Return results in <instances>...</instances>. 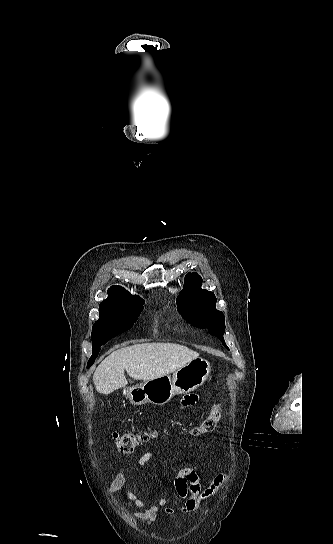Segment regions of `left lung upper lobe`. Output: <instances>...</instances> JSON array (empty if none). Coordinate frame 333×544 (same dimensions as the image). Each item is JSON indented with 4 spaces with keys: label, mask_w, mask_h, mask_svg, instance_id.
Here are the masks:
<instances>
[{
    "label": "left lung upper lobe",
    "mask_w": 333,
    "mask_h": 544,
    "mask_svg": "<svg viewBox=\"0 0 333 544\" xmlns=\"http://www.w3.org/2000/svg\"><path fill=\"white\" fill-rule=\"evenodd\" d=\"M202 278L197 273L188 274L185 277L184 290L177 297V306L188 309L183 313L186 321L198 328H208L211 335L222 340L225 330L224 315L215 307L216 297L214 293L201 289Z\"/></svg>",
    "instance_id": "5c2ea615"
}]
</instances>
